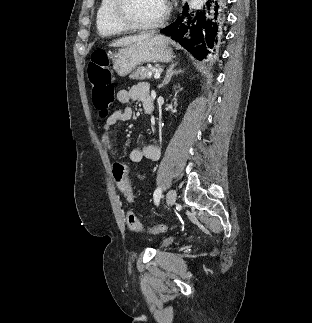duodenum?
Masks as SVG:
<instances>
[{
	"label": "duodenum",
	"instance_id": "obj_1",
	"mask_svg": "<svg viewBox=\"0 0 312 323\" xmlns=\"http://www.w3.org/2000/svg\"><path fill=\"white\" fill-rule=\"evenodd\" d=\"M144 112L147 118L153 117L155 112V106L150 92H147L144 96Z\"/></svg>",
	"mask_w": 312,
	"mask_h": 323
}]
</instances>
